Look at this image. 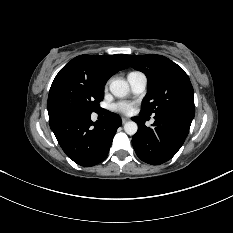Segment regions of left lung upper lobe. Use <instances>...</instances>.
<instances>
[{
  "label": "left lung upper lobe",
  "instance_id": "5c2ea615",
  "mask_svg": "<svg viewBox=\"0 0 233 233\" xmlns=\"http://www.w3.org/2000/svg\"><path fill=\"white\" fill-rule=\"evenodd\" d=\"M128 64L148 79V93L141 113L175 114L192 120L195 114L194 92L185 71L161 55H122Z\"/></svg>",
  "mask_w": 233,
  "mask_h": 233
}]
</instances>
